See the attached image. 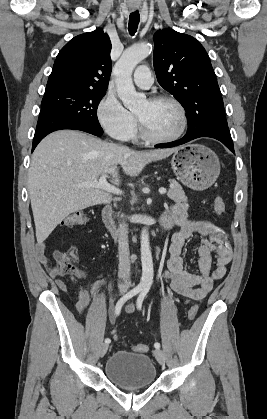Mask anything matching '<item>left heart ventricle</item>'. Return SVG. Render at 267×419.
Here are the masks:
<instances>
[{
  "label": "left heart ventricle",
  "mask_w": 267,
  "mask_h": 419,
  "mask_svg": "<svg viewBox=\"0 0 267 419\" xmlns=\"http://www.w3.org/2000/svg\"><path fill=\"white\" fill-rule=\"evenodd\" d=\"M147 130L154 136L168 137L177 132L181 118L177 107L168 101H144L135 111Z\"/></svg>",
  "instance_id": "left-heart-ventricle-1"
}]
</instances>
